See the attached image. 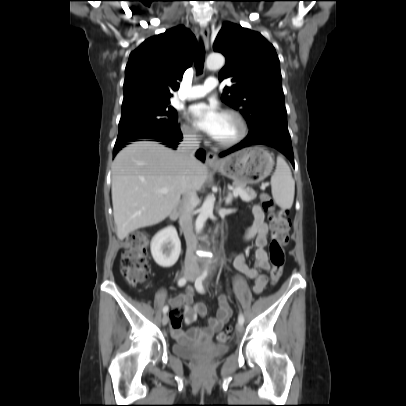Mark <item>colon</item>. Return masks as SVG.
Listing matches in <instances>:
<instances>
[{"label": "colon", "mask_w": 406, "mask_h": 406, "mask_svg": "<svg viewBox=\"0 0 406 406\" xmlns=\"http://www.w3.org/2000/svg\"><path fill=\"white\" fill-rule=\"evenodd\" d=\"M263 209L268 214V220L272 226V238L269 245V257L272 265L271 284H276L283 272L285 255L284 246L288 242L289 221L286 211L276 207L274 200L268 194L261 195ZM147 238L141 232L129 234L125 250L122 253L120 272L129 286H137L148 277V265L146 261ZM171 324L178 327L182 321V313L174 311L171 315ZM231 337L229 329L223 330L216 335L220 343L227 342Z\"/></svg>", "instance_id": "5ec220e1"}]
</instances>
